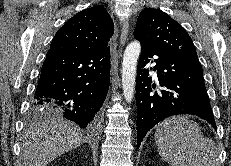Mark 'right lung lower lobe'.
<instances>
[{
	"mask_svg": "<svg viewBox=\"0 0 231 166\" xmlns=\"http://www.w3.org/2000/svg\"><path fill=\"white\" fill-rule=\"evenodd\" d=\"M110 83V47L93 53L48 50L32 101L34 113L62 114L94 133Z\"/></svg>",
	"mask_w": 231,
	"mask_h": 166,
	"instance_id": "1",
	"label": "right lung lower lobe"
}]
</instances>
